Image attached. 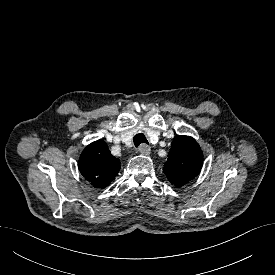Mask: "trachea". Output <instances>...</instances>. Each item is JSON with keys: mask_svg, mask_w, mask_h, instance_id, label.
<instances>
[{"mask_svg": "<svg viewBox=\"0 0 275 275\" xmlns=\"http://www.w3.org/2000/svg\"><path fill=\"white\" fill-rule=\"evenodd\" d=\"M133 142H134L135 147H138L142 143L148 144V141H147L145 135L142 133L136 134L133 138Z\"/></svg>", "mask_w": 275, "mask_h": 275, "instance_id": "1", "label": "trachea"}]
</instances>
